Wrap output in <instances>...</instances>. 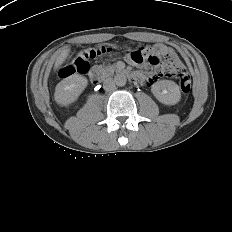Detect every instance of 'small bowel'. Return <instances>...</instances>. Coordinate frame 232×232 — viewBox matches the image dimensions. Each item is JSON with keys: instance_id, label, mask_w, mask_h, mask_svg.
<instances>
[{"instance_id": "c3829d8e", "label": "small bowel", "mask_w": 232, "mask_h": 232, "mask_svg": "<svg viewBox=\"0 0 232 232\" xmlns=\"http://www.w3.org/2000/svg\"><path fill=\"white\" fill-rule=\"evenodd\" d=\"M162 48L165 50V53L171 57H173L174 59V63L175 65L178 67V68H182L183 65L180 61V59L177 57L176 53L173 51V49H171L170 47H167V46H164V45H161ZM129 62L132 63V64H135V62L129 58ZM138 64V63H137Z\"/></svg>"}]
</instances>
